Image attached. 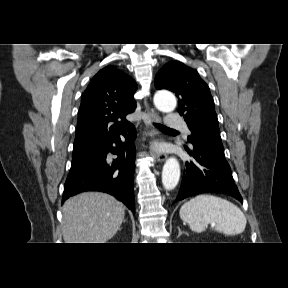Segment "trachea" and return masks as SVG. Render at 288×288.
<instances>
[{
  "label": "trachea",
  "instance_id": "obj_1",
  "mask_svg": "<svg viewBox=\"0 0 288 288\" xmlns=\"http://www.w3.org/2000/svg\"><path fill=\"white\" fill-rule=\"evenodd\" d=\"M155 127L158 128L159 130H164V131H176L174 129H171L169 127H166L162 124H157V123H154Z\"/></svg>",
  "mask_w": 288,
  "mask_h": 288
}]
</instances>
